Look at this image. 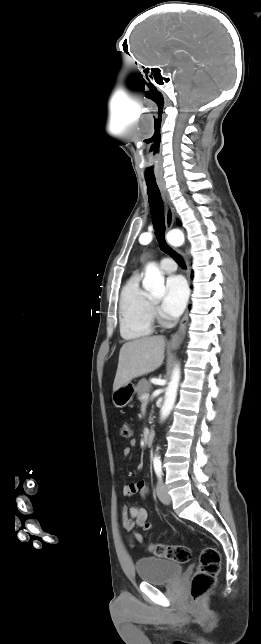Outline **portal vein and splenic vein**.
Wrapping results in <instances>:
<instances>
[{"label": "portal vein and splenic vein", "mask_w": 261, "mask_h": 644, "mask_svg": "<svg viewBox=\"0 0 261 644\" xmlns=\"http://www.w3.org/2000/svg\"><path fill=\"white\" fill-rule=\"evenodd\" d=\"M142 399H143V400H148V399H149V393H145V394L142 396Z\"/></svg>", "instance_id": "18ae733b"}]
</instances>
